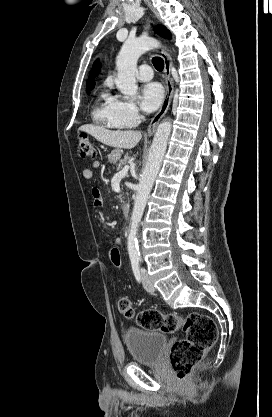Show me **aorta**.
<instances>
[{
    "mask_svg": "<svg viewBox=\"0 0 272 417\" xmlns=\"http://www.w3.org/2000/svg\"><path fill=\"white\" fill-rule=\"evenodd\" d=\"M158 47H160L159 41L147 36H141L136 39H127L124 42L116 58V67L118 71L116 86L125 98L131 97L137 93L138 86L136 84L135 73L137 71V61L139 57L146 51ZM171 126L170 120H164L159 124L150 147L146 166L137 187L127 241L128 254L132 262H138L140 259L137 241L138 226L148 196L164 158L168 138L171 133Z\"/></svg>",
    "mask_w": 272,
    "mask_h": 417,
    "instance_id": "1",
    "label": "aorta"
}]
</instances>
